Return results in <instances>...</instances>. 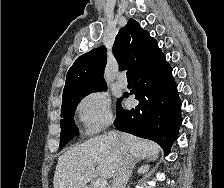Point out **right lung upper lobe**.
I'll return each mask as SVG.
<instances>
[{"mask_svg": "<svg viewBox=\"0 0 224 188\" xmlns=\"http://www.w3.org/2000/svg\"><path fill=\"white\" fill-rule=\"evenodd\" d=\"M113 51L118 63L126 64L122 69H131L132 76L154 65L163 55L156 40L132 18L118 32ZM105 65L104 46L78 57L68 70L63 95L106 86Z\"/></svg>", "mask_w": 224, "mask_h": 188, "instance_id": "cb5924a9", "label": "right lung upper lobe"}]
</instances>
